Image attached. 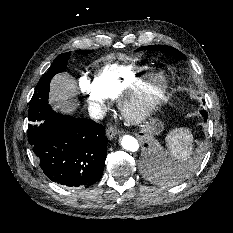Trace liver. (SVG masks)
<instances>
[{
    "instance_id": "1",
    "label": "liver",
    "mask_w": 233,
    "mask_h": 233,
    "mask_svg": "<svg viewBox=\"0 0 233 233\" xmlns=\"http://www.w3.org/2000/svg\"><path fill=\"white\" fill-rule=\"evenodd\" d=\"M77 84L69 73L54 76L50 83L49 102L54 110L72 113L77 107Z\"/></svg>"
}]
</instances>
